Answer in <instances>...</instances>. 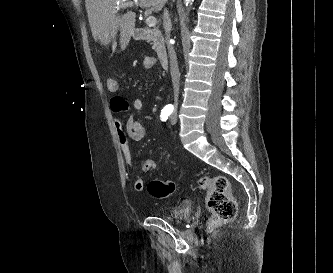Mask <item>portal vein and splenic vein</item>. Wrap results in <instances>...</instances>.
<instances>
[{
	"label": "portal vein and splenic vein",
	"instance_id": "portal-vein-and-splenic-vein-1",
	"mask_svg": "<svg viewBox=\"0 0 333 273\" xmlns=\"http://www.w3.org/2000/svg\"><path fill=\"white\" fill-rule=\"evenodd\" d=\"M123 3H118L116 6V11L119 10L120 8H126V7H132L134 5L133 2H126V0H122ZM146 24L149 27H155L156 26V18L153 16H148L146 18Z\"/></svg>",
	"mask_w": 333,
	"mask_h": 273
}]
</instances>
